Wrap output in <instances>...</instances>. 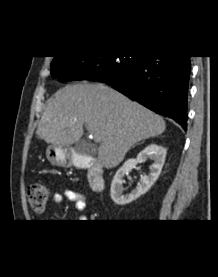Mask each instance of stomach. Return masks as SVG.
Here are the masks:
<instances>
[{
	"label": "stomach",
	"instance_id": "stomach-1",
	"mask_svg": "<svg viewBox=\"0 0 218 277\" xmlns=\"http://www.w3.org/2000/svg\"><path fill=\"white\" fill-rule=\"evenodd\" d=\"M47 159L53 164L62 167L71 165V158L68 149L64 146L52 145L46 150Z\"/></svg>",
	"mask_w": 218,
	"mask_h": 277
}]
</instances>
